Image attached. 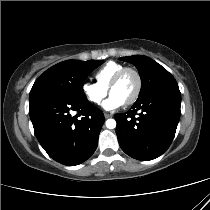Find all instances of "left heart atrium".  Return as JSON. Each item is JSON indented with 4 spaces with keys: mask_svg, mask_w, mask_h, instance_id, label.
Instances as JSON below:
<instances>
[{
    "mask_svg": "<svg viewBox=\"0 0 210 210\" xmlns=\"http://www.w3.org/2000/svg\"><path fill=\"white\" fill-rule=\"evenodd\" d=\"M124 105V102L116 95H110L109 98H107L103 104L102 107L105 110L112 111L116 110Z\"/></svg>",
    "mask_w": 210,
    "mask_h": 210,
    "instance_id": "left-heart-atrium-1",
    "label": "left heart atrium"
}]
</instances>
